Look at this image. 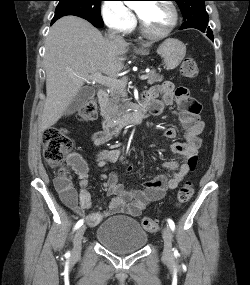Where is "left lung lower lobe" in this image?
<instances>
[{"mask_svg": "<svg viewBox=\"0 0 250 285\" xmlns=\"http://www.w3.org/2000/svg\"><path fill=\"white\" fill-rule=\"evenodd\" d=\"M202 32H205L206 30H200ZM207 36L213 40V34H212V31H207Z\"/></svg>", "mask_w": 250, "mask_h": 285, "instance_id": "obj_1", "label": "left lung lower lobe"}]
</instances>
